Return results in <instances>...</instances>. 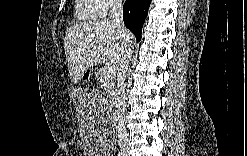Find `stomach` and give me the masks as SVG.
Here are the masks:
<instances>
[{
    "mask_svg": "<svg viewBox=\"0 0 247 156\" xmlns=\"http://www.w3.org/2000/svg\"><path fill=\"white\" fill-rule=\"evenodd\" d=\"M86 74V78L88 77H90L91 76V74L89 73V71H86L85 73H84V75ZM84 75L82 76V77H84Z\"/></svg>",
    "mask_w": 247,
    "mask_h": 156,
    "instance_id": "0dacf381",
    "label": "stomach"
}]
</instances>
